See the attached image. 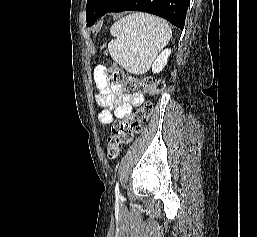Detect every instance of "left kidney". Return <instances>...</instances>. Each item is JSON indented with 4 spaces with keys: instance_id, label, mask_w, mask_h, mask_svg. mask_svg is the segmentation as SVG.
Returning a JSON list of instances; mask_svg holds the SVG:
<instances>
[{
    "instance_id": "1",
    "label": "left kidney",
    "mask_w": 257,
    "mask_h": 237,
    "mask_svg": "<svg viewBox=\"0 0 257 237\" xmlns=\"http://www.w3.org/2000/svg\"><path fill=\"white\" fill-rule=\"evenodd\" d=\"M171 54V49H165L156 59V61L152 65V72L159 73L165 67L168 61V57Z\"/></svg>"
}]
</instances>
